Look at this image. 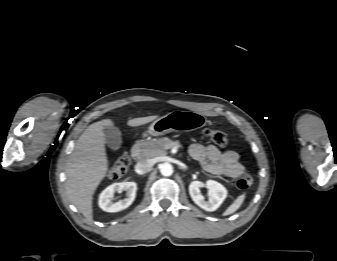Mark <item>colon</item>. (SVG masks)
Segmentation results:
<instances>
[{
    "mask_svg": "<svg viewBox=\"0 0 337 261\" xmlns=\"http://www.w3.org/2000/svg\"><path fill=\"white\" fill-rule=\"evenodd\" d=\"M204 135L214 144L219 147L225 148L228 146L229 140L225 133L214 130H204ZM130 157L127 153L121 154L115 163L109 168L108 176L112 179H118L122 177L130 166ZM254 183L253 177L244 173L237 181V187L241 190L249 189Z\"/></svg>",
    "mask_w": 337,
    "mask_h": 261,
    "instance_id": "obj_1",
    "label": "colon"
}]
</instances>
